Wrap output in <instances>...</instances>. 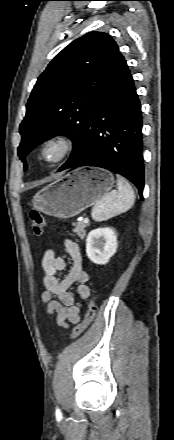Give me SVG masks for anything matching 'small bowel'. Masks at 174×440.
<instances>
[{
    "instance_id": "obj_1",
    "label": "small bowel",
    "mask_w": 174,
    "mask_h": 440,
    "mask_svg": "<svg viewBox=\"0 0 174 440\" xmlns=\"http://www.w3.org/2000/svg\"><path fill=\"white\" fill-rule=\"evenodd\" d=\"M64 247L72 260L69 272L60 278V272L67 267L65 258L56 255L49 249L42 258L43 283L45 291L41 299L46 312L54 316L59 326L67 328L70 324L80 321V313L83 303L90 296V288L87 285L88 273L83 268V259L77 243L70 239L64 240ZM77 284V296L80 301L76 302L69 289Z\"/></svg>"
}]
</instances>
